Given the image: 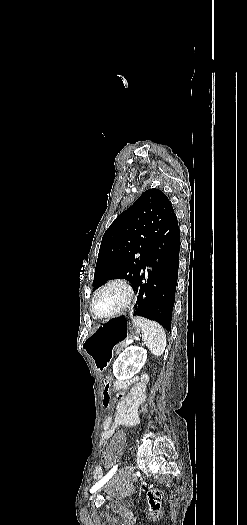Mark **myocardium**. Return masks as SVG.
<instances>
[{
	"instance_id": "obj_1",
	"label": "myocardium",
	"mask_w": 247,
	"mask_h": 525,
	"mask_svg": "<svg viewBox=\"0 0 247 525\" xmlns=\"http://www.w3.org/2000/svg\"><path fill=\"white\" fill-rule=\"evenodd\" d=\"M107 287H118V288L124 289L126 292V299L119 307L113 310H110L108 312H105V313H99L95 308V300L98 294ZM133 294H134L133 286L127 279L120 278V277L108 279L102 282L94 291L91 297V301H90L91 312L94 315V317H96L97 319L112 318L116 315L123 313L128 308V306L130 305L133 299Z\"/></svg>"
}]
</instances>
